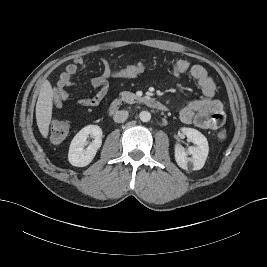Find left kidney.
I'll use <instances>...</instances> for the list:
<instances>
[{"instance_id":"1","label":"left kidney","mask_w":267,"mask_h":267,"mask_svg":"<svg viewBox=\"0 0 267 267\" xmlns=\"http://www.w3.org/2000/svg\"><path fill=\"white\" fill-rule=\"evenodd\" d=\"M181 132L195 144L190 146L187 151L179 145L175 147V160L178 166L186 171L200 170L207 159L209 146L206 137L196 129L181 128ZM191 155V157H187Z\"/></svg>"}]
</instances>
